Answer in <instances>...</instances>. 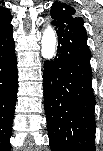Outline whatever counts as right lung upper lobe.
<instances>
[{
  "label": "right lung upper lobe",
  "instance_id": "obj_1",
  "mask_svg": "<svg viewBox=\"0 0 103 151\" xmlns=\"http://www.w3.org/2000/svg\"><path fill=\"white\" fill-rule=\"evenodd\" d=\"M6 10V9H5ZM10 15L8 14V16L6 18H1L0 19V30L5 28L6 26L8 25H11L10 24Z\"/></svg>",
  "mask_w": 103,
  "mask_h": 151
}]
</instances>
